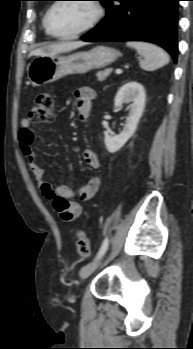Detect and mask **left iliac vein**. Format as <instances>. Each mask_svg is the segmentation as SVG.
I'll list each match as a JSON object with an SVG mask.
<instances>
[{"label": "left iliac vein", "instance_id": "obj_1", "mask_svg": "<svg viewBox=\"0 0 193 349\" xmlns=\"http://www.w3.org/2000/svg\"><path fill=\"white\" fill-rule=\"evenodd\" d=\"M103 259H104V256H101L98 259H96L95 261L84 266L80 271L81 278L85 279L88 276H90L98 268V266L102 263Z\"/></svg>", "mask_w": 193, "mask_h": 349}]
</instances>
